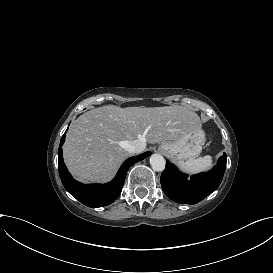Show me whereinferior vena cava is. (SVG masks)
<instances>
[{"label":"inferior vena cava","mask_w":273,"mask_h":273,"mask_svg":"<svg viewBox=\"0 0 273 273\" xmlns=\"http://www.w3.org/2000/svg\"><path fill=\"white\" fill-rule=\"evenodd\" d=\"M145 148H146V144L141 140H134V141L127 142L125 147V149L129 153H140L144 151Z\"/></svg>","instance_id":"obj_1"}]
</instances>
